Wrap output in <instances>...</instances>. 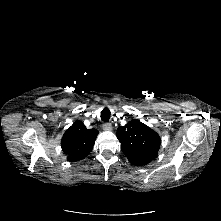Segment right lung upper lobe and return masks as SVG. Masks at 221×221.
<instances>
[{"instance_id": "obj_1", "label": "right lung upper lobe", "mask_w": 221, "mask_h": 221, "mask_svg": "<svg viewBox=\"0 0 221 221\" xmlns=\"http://www.w3.org/2000/svg\"><path fill=\"white\" fill-rule=\"evenodd\" d=\"M98 131L87 129L81 121H76L64 133L62 150L71 162L84 159L92 150Z\"/></svg>"}]
</instances>
